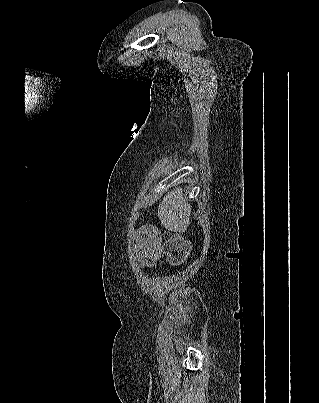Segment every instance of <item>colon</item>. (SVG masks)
<instances>
[{"instance_id": "1", "label": "colon", "mask_w": 319, "mask_h": 403, "mask_svg": "<svg viewBox=\"0 0 319 403\" xmlns=\"http://www.w3.org/2000/svg\"><path fill=\"white\" fill-rule=\"evenodd\" d=\"M140 232L144 239L138 240L139 248H148L154 257L164 251L170 263L174 265L183 263L191 252L190 243L174 233H167L162 243L161 236L156 229L144 225L140 228Z\"/></svg>"}]
</instances>
